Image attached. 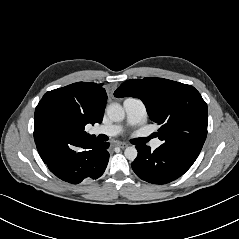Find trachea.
Segmentation results:
<instances>
[{"instance_id": "obj_1", "label": "trachea", "mask_w": 239, "mask_h": 239, "mask_svg": "<svg viewBox=\"0 0 239 239\" xmlns=\"http://www.w3.org/2000/svg\"><path fill=\"white\" fill-rule=\"evenodd\" d=\"M150 138H151V136H150V137H147V138H138V139H136V142H137V144H144V143H146Z\"/></svg>"}]
</instances>
